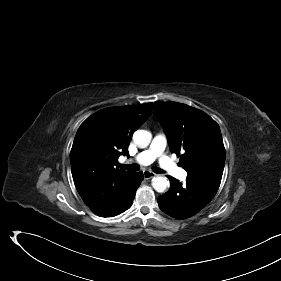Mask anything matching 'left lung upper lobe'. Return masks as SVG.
<instances>
[{
    "label": "left lung upper lobe",
    "mask_w": 281,
    "mask_h": 281,
    "mask_svg": "<svg viewBox=\"0 0 281 281\" xmlns=\"http://www.w3.org/2000/svg\"><path fill=\"white\" fill-rule=\"evenodd\" d=\"M155 110L188 176L219 188L225 164L219 125L203 111L177 102H156Z\"/></svg>",
    "instance_id": "obj_1"
}]
</instances>
